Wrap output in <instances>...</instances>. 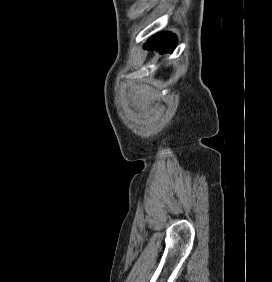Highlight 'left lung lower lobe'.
Wrapping results in <instances>:
<instances>
[{
	"label": "left lung lower lobe",
	"instance_id": "1",
	"mask_svg": "<svg viewBox=\"0 0 272 282\" xmlns=\"http://www.w3.org/2000/svg\"><path fill=\"white\" fill-rule=\"evenodd\" d=\"M176 45L174 35L169 33H159L150 38L146 44L145 49H156L160 53L172 52Z\"/></svg>",
	"mask_w": 272,
	"mask_h": 282
}]
</instances>
